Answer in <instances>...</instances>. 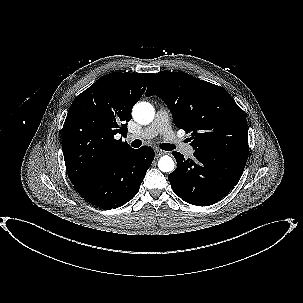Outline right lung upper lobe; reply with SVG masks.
Masks as SVG:
<instances>
[{
	"label": "right lung upper lobe",
	"mask_w": 303,
	"mask_h": 303,
	"mask_svg": "<svg viewBox=\"0 0 303 303\" xmlns=\"http://www.w3.org/2000/svg\"><path fill=\"white\" fill-rule=\"evenodd\" d=\"M153 75L110 73L75 98L62 129L65 166L73 184L134 150L114 136L127 135L131 110Z\"/></svg>",
	"instance_id": "right-lung-upper-lobe-1"
}]
</instances>
